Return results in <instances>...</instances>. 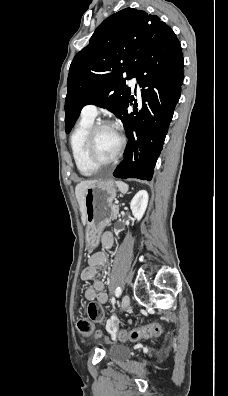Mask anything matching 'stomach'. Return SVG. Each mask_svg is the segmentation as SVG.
<instances>
[{
    "label": "stomach",
    "mask_w": 228,
    "mask_h": 396,
    "mask_svg": "<svg viewBox=\"0 0 228 396\" xmlns=\"http://www.w3.org/2000/svg\"><path fill=\"white\" fill-rule=\"evenodd\" d=\"M116 186L112 180L91 183L84 195L86 211V247L94 249L101 233L113 216V200Z\"/></svg>",
    "instance_id": "0dacf381"
}]
</instances>
